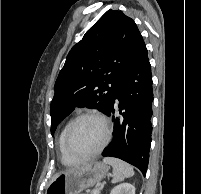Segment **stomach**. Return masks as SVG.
Returning a JSON list of instances; mask_svg holds the SVG:
<instances>
[{"mask_svg": "<svg viewBox=\"0 0 201 194\" xmlns=\"http://www.w3.org/2000/svg\"><path fill=\"white\" fill-rule=\"evenodd\" d=\"M108 167L101 162H90L76 169L58 174L47 187L46 194H80L96 185L107 175Z\"/></svg>", "mask_w": 201, "mask_h": 194, "instance_id": "stomach-1", "label": "stomach"}]
</instances>
